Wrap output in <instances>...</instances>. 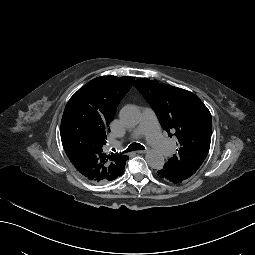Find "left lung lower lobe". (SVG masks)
<instances>
[{
  "instance_id": "0a47b994",
  "label": "left lung lower lobe",
  "mask_w": 255,
  "mask_h": 255,
  "mask_svg": "<svg viewBox=\"0 0 255 255\" xmlns=\"http://www.w3.org/2000/svg\"><path fill=\"white\" fill-rule=\"evenodd\" d=\"M155 176L157 178H160V180L165 181L167 184H170V182H174L176 184H179V181L175 180V177L173 175H170L167 173V169L159 168L157 172L155 173Z\"/></svg>"
}]
</instances>
